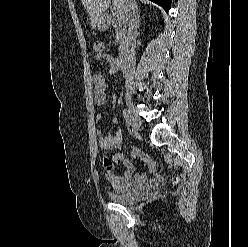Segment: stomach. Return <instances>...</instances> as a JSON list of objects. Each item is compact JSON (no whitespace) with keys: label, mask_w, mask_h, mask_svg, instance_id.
I'll return each instance as SVG.
<instances>
[{"label":"stomach","mask_w":248,"mask_h":247,"mask_svg":"<svg viewBox=\"0 0 248 247\" xmlns=\"http://www.w3.org/2000/svg\"><path fill=\"white\" fill-rule=\"evenodd\" d=\"M109 24L108 22L103 18H101L98 23H97V28L100 30V31H104L108 28Z\"/></svg>","instance_id":"stomach-1"}]
</instances>
